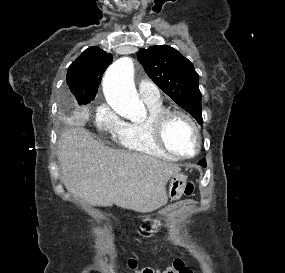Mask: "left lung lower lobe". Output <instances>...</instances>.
<instances>
[{"label": "left lung lower lobe", "mask_w": 285, "mask_h": 273, "mask_svg": "<svg viewBox=\"0 0 285 273\" xmlns=\"http://www.w3.org/2000/svg\"><path fill=\"white\" fill-rule=\"evenodd\" d=\"M199 164H200L201 166H203V167H205V166H206V162H205V160H202L201 162H199Z\"/></svg>", "instance_id": "obj_1"}]
</instances>
